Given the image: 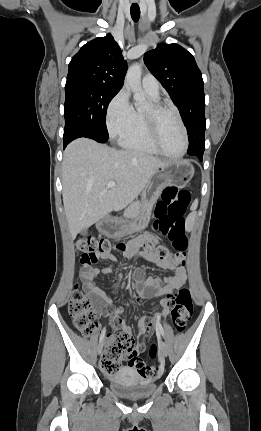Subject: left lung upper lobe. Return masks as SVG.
<instances>
[{"label": "left lung upper lobe", "mask_w": 261, "mask_h": 431, "mask_svg": "<svg viewBox=\"0 0 261 431\" xmlns=\"http://www.w3.org/2000/svg\"><path fill=\"white\" fill-rule=\"evenodd\" d=\"M144 61L180 111L189 135L188 154L203 155L205 95L194 57L178 44H159L145 53Z\"/></svg>", "instance_id": "obj_1"}]
</instances>
